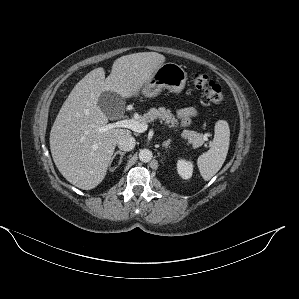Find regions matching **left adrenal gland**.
Here are the masks:
<instances>
[{
    "instance_id": "a2214340",
    "label": "left adrenal gland",
    "mask_w": 299,
    "mask_h": 299,
    "mask_svg": "<svg viewBox=\"0 0 299 299\" xmlns=\"http://www.w3.org/2000/svg\"><path fill=\"white\" fill-rule=\"evenodd\" d=\"M170 143H171V140L168 139L167 141H165V142L162 144V146H163L164 148H168V147H170Z\"/></svg>"
}]
</instances>
